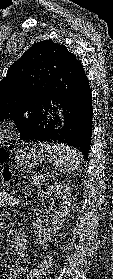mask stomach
<instances>
[{"label": "stomach", "instance_id": "obj_1", "mask_svg": "<svg viewBox=\"0 0 113 279\" xmlns=\"http://www.w3.org/2000/svg\"><path fill=\"white\" fill-rule=\"evenodd\" d=\"M47 153L42 150H37L35 146L22 147L15 152V163L17 166L25 168H34L44 162Z\"/></svg>", "mask_w": 113, "mask_h": 279}]
</instances>
